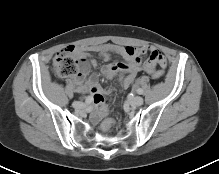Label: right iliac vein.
<instances>
[{
    "instance_id": "1",
    "label": "right iliac vein",
    "mask_w": 219,
    "mask_h": 174,
    "mask_svg": "<svg viewBox=\"0 0 219 174\" xmlns=\"http://www.w3.org/2000/svg\"><path fill=\"white\" fill-rule=\"evenodd\" d=\"M73 107L76 109H83L85 107V104L82 102L75 101L73 102Z\"/></svg>"
}]
</instances>
